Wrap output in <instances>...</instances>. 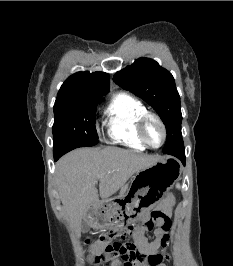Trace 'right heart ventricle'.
<instances>
[{
	"label": "right heart ventricle",
	"instance_id": "1",
	"mask_svg": "<svg viewBox=\"0 0 233 266\" xmlns=\"http://www.w3.org/2000/svg\"><path fill=\"white\" fill-rule=\"evenodd\" d=\"M147 112L144 104L126 92L116 93L105 111V125L110 140L136 150L146 146L137 134L140 117Z\"/></svg>",
	"mask_w": 233,
	"mask_h": 266
}]
</instances>
